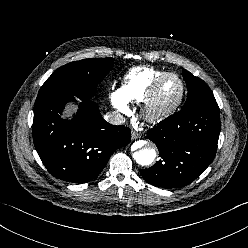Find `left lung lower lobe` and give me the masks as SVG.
<instances>
[{
	"instance_id": "left-lung-lower-lobe-1",
	"label": "left lung lower lobe",
	"mask_w": 248,
	"mask_h": 248,
	"mask_svg": "<svg viewBox=\"0 0 248 248\" xmlns=\"http://www.w3.org/2000/svg\"><path fill=\"white\" fill-rule=\"evenodd\" d=\"M220 133L216 100L181 109L147 132L161 159L140 169L144 180L163 188L183 187L194 181L213 161Z\"/></svg>"
}]
</instances>
